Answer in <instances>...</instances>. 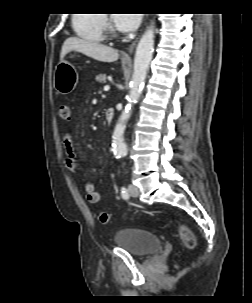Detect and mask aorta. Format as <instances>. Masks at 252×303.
<instances>
[{"label":"aorta","instance_id":"1","mask_svg":"<svg viewBox=\"0 0 252 303\" xmlns=\"http://www.w3.org/2000/svg\"><path fill=\"white\" fill-rule=\"evenodd\" d=\"M154 47V26L147 27L136 48L134 57L133 75L130 82V93L127 97L128 104L123 110L119 122L115 126L113 133V148L116 158H121L127 154V145L124 141V129L127 120L131 116L132 105L135 104L142 92V88L147 76L150 61L152 59Z\"/></svg>","mask_w":252,"mask_h":303}]
</instances>
